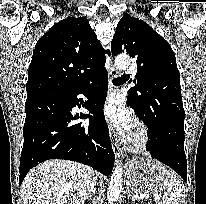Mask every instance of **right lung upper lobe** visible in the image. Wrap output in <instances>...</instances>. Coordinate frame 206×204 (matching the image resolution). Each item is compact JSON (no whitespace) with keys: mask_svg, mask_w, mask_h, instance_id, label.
Listing matches in <instances>:
<instances>
[{"mask_svg":"<svg viewBox=\"0 0 206 204\" xmlns=\"http://www.w3.org/2000/svg\"><path fill=\"white\" fill-rule=\"evenodd\" d=\"M104 52L110 55L85 18L61 20L35 46L29 65L27 96L79 87L104 69Z\"/></svg>","mask_w":206,"mask_h":204,"instance_id":"1","label":"right lung upper lobe"}]
</instances>
